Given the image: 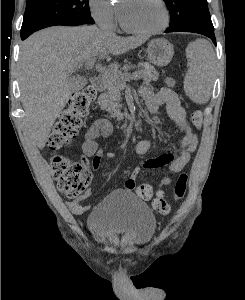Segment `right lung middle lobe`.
<instances>
[{"label":"right lung middle lobe","mask_w":245,"mask_h":300,"mask_svg":"<svg viewBox=\"0 0 245 300\" xmlns=\"http://www.w3.org/2000/svg\"><path fill=\"white\" fill-rule=\"evenodd\" d=\"M88 0H27L21 36L54 25L94 24Z\"/></svg>","instance_id":"obj_1"}]
</instances>
